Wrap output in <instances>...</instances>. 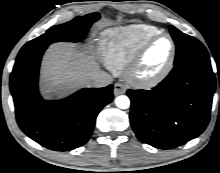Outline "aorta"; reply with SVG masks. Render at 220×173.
<instances>
[{
	"label": "aorta",
	"instance_id": "1",
	"mask_svg": "<svg viewBox=\"0 0 220 173\" xmlns=\"http://www.w3.org/2000/svg\"><path fill=\"white\" fill-rule=\"evenodd\" d=\"M115 104L120 109H127L130 106V99L125 95H120L115 99Z\"/></svg>",
	"mask_w": 220,
	"mask_h": 173
}]
</instances>
